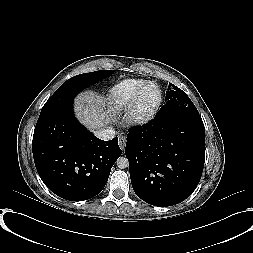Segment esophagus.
Returning <instances> with one entry per match:
<instances>
[{
  "label": "esophagus",
  "mask_w": 253,
  "mask_h": 253,
  "mask_svg": "<svg viewBox=\"0 0 253 253\" xmlns=\"http://www.w3.org/2000/svg\"><path fill=\"white\" fill-rule=\"evenodd\" d=\"M118 144H119V147L121 148V150L123 151L125 149V146H126V137L125 136H120L119 140H118Z\"/></svg>",
  "instance_id": "1"
}]
</instances>
